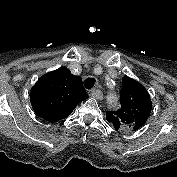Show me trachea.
I'll return each instance as SVG.
<instances>
[{"mask_svg": "<svg viewBox=\"0 0 177 177\" xmlns=\"http://www.w3.org/2000/svg\"><path fill=\"white\" fill-rule=\"evenodd\" d=\"M94 84H95V79L94 78H92V77L87 78V80L85 82V86H86L87 89L90 90L91 88H93Z\"/></svg>", "mask_w": 177, "mask_h": 177, "instance_id": "trachea-1", "label": "trachea"}]
</instances>
